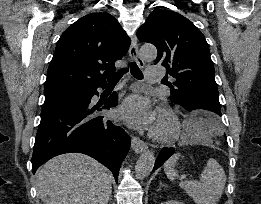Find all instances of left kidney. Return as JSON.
<instances>
[{"label":"left kidney","instance_id":"5707ae66","mask_svg":"<svg viewBox=\"0 0 261 204\" xmlns=\"http://www.w3.org/2000/svg\"><path fill=\"white\" fill-rule=\"evenodd\" d=\"M161 204H184V203L176 201V200H169V201L163 202Z\"/></svg>","mask_w":261,"mask_h":204}]
</instances>
